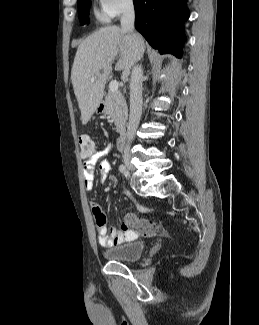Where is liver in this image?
Here are the masks:
<instances>
[{"label": "liver", "instance_id": "1", "mask_svg": "<svg viewBox=\"0 0 259 325\" xmlns=\"http://www.w3.org/2000/svg\"><path fill=\"white\" fill-rule=\"evenodd\" d=\"M145 50L140 35H130L117 26H107L88 36L78 47L71 70V80L81 111V121L86 125L101 103L112 62L119 54L116 71H122L126 82L131 67ZM95 77L94 81H91Z\"/></svg>", "mask_w": 259, "mask_h": 325}]
</instances>
